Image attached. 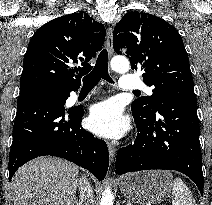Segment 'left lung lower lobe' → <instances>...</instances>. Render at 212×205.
Segmentation results:
<instances>
[{
  "instance_id": "1",
  "label": "left lung lower lobe",
  "mask_w": 212,
  "mask_h": 205,
  "mask_svg": "<svg viewBox=\"0 0 212 205\" xmlns=\"http://www.w3.org/2000/svg\"><path fill=\"white\" fill-rule=\"evenodd\" d=\"M138 130L134 144L118 150L116 174L167 169L190 177L203 193L197 100L193 93L168 97L155 112H132Z\"/></svg>"
}]
</instances>
